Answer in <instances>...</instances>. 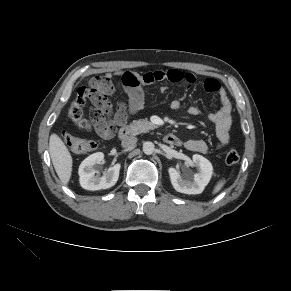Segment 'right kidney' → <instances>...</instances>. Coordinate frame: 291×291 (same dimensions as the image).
<instances>
[{"mask_svg":"<svg viewBox=\"0 0 291 291\" xmlns=\"http://www.w3.org/2000/svg\"><path fill=\"white\" fill-rule=\"evenodd\" d=\"M104 159L102 152L91 154L82 161L79 166V182L82 188L86 190L108 189L114 186L119 177L121 165L119 163L110 167L102 176L95 175L96 166Z\"/></svg>","mask_w":291,"mask_h":291,"instance_id":"right-kidney-1","label":"right kidney"}]
</instances>
